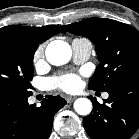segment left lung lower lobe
Segmentation results:
<instances>
[{"label":"left lung lower lobe","mask_w":139,"mask_h":139,"mask_svg":"<svg viewBox=\"0 0 139 139\" xmlns=\"http://www.w3.org/2000/svg\"><path fill=\"white\" fill-rule=\"evenodd\" d=\"M103 104L92 98L93 110L83 124L92 139H129L139 127V76L107 91Z\"/></svg>","instance_id":"obj_1"}]
</instances>
